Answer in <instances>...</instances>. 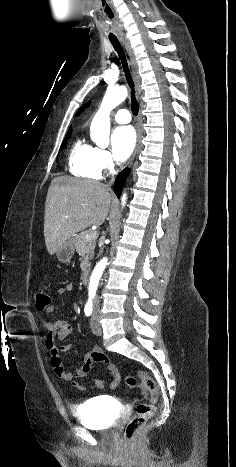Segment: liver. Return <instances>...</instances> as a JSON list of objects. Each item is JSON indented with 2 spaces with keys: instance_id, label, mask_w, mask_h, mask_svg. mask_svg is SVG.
Here are the masks:
<instances>
[{
  "instance_id": "1",
  "label": "liver",
  "mask_w": 236,
  "mask_h": 467,
  "mask_svg": "<svg viewBox=\"0 0 236 467\" xmlns=\"http://www.w3.org/2000/svg\"><path fill=\"white\" fill-rule=\"evenodd\" d=\"M111 203L109 188L100 182L54 178L45 202L44 237L48 253H56L75 233L91 225H102Z\"/></svg>"
}]
</instances>
